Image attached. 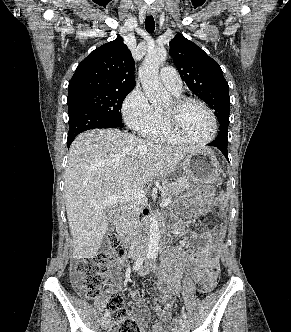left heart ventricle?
Instances as JSON below:
<instances>
[{
  "label": "left heart ventricle",
  "instance_id": "1",
  "mask_svg": "<svg viewBox=\"0 0 291 332\" xmlns=\"http://www.w3.org/2000/svg\"><path fill=\"white\" fill-rule=\"evenodd\" d=\"M172 101L164 109L170 108ZM182 130L190 137L202 140L212 132V122L208 113L197 104H189L180 113Z\"/></svg>",
  "mask_w": 291,
  "mask_h": 332
}]
</instances>
